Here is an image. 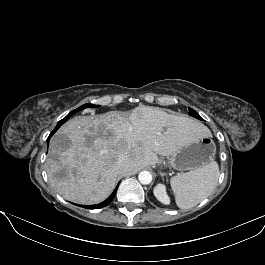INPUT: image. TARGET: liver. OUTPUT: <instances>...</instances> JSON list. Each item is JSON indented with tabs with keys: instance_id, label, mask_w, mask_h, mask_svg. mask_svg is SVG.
<instances>
[{
	"instance_id": "6515ba94",
	"label": "liver",
	"mask_w": 265,
	"mask_h": 265,
	"mask_svg": "<svg viewBox=\"0 0 265 265\" xmlns=\"http://www.w3.org/2000/svg\"><path fill=\"white\" fill-rule=\"evenodd\" d=\"M210 134L186 116L139 106L129 116L109 111L77 116L56 133L46 171L51 186L66 200L97 204L113 191L119 174H134L170 156L188 137ZM123 159L126 168L118 162ZM61 171L63 176H58Z\"/></svg>"
}]
</instances>
